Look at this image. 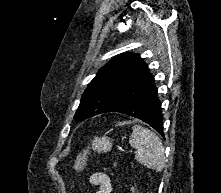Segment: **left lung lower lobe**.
Returning <instances> with one entry per match:
<instances>
[{
	"mask_svg": "<svg viewBox=\"0 0 221 193\" xmlns=\"http://www.w3.org/2000/svg\"><path fill=\"white\" fill-rule=\"evenodd\" d=\"M119 112L142 120L164 137L163 115L154 77L141 75L103 112Z\"/></svg>",
	"mask_w": 221,
	"mask_h": 193,
	"instance_id": "0a47b994",
	"label": "left lung lower lobe"
}]
</instances>
